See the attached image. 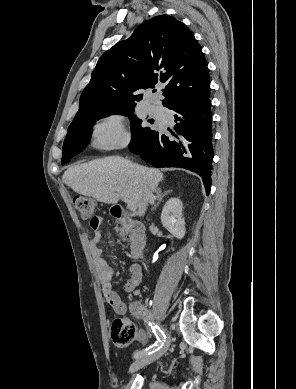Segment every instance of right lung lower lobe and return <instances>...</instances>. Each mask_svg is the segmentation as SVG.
<instances>
[{
  "mask_svg": "<svg viewBox=\"0 0 296 389\" xmlns=\"http://www.w3.org/2000/svg\"><path fill=\"white\" fill-rule=\"evenodd\" d=\"M169 109L176 112V134L155 132L141 149L130 150L154 167H181L197 173L209 194L214 156L210 90Z\"/></svg>",
  "mask_w": 296,
  "mask_h": 389,
  "instance_id": "1",
  "label": "right lung lower lobe"
}]
</instances>
